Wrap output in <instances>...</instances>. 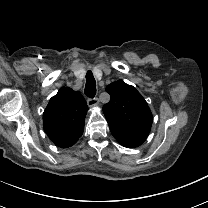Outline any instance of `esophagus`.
Masks as SVG:
<instances>
[{
    "instance_id": "34e87169",
    "label": "esophagus",
    "mask_w": 208,
    "mask_h": 208,
    "mask_svg": "<svg viewBox=\"0 0 208 208\" xmlns=\"http://www.w3.org/2000/svg\"><path fill=\"white\" fill-rule=\"evenodd\" d=\"M99 103V99L98 98H89L88 100H87V104H88V106L89 107H94V106H96L97 104Z\"/></svg>"
}]
</instances>
